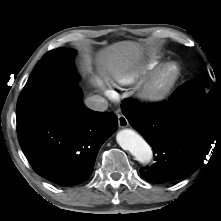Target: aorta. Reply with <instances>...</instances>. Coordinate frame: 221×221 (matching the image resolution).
Wrapping results in <instances>:
<instances>
[{
  "instance_id": "obj_1",
  "label": "aorta",
  "mask_w": 221,
  "mask_h": 221,
  "mask_svg": "<svg viewBox=\"0 0 221 221\" xmlns=\"http://www.w3.org/2000/svg\"><path fill=\"white\" fill-rule=\"evenodd\" d=\"M117 143L129 151L140 163H148L153 157V152L148 143L132 129H122L116 135Z\"/></svg>"
}]
</instances>
